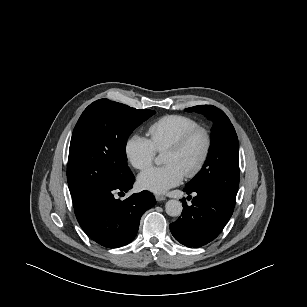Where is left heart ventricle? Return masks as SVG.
<instances>
[{"label":"left heart ventricle","mask_w":307,"mask_h":307,"mask_svg":"<svg viewBox=\"0 0 307 307\" xmlns=\"http://www.w3.org/2000/svg\"><path fill=\"white\" fill-rule=\"evenodd\" d=\"M203 147L204 139L202 135H196L181 151L164 152L162 162L164 164H175L185 173L197 161Z\"/></svg>","instance_id":"1"}]
</instances>
